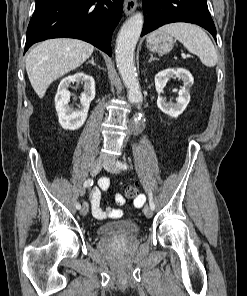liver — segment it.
<instances>
[{
	"label": "liver",
	"mask_w": 247,
	"mask_h": 296,
	"mask_svg": "<svg viewBox=\"0 0 247 296\" xmlns=\"http://www.w3.org/2000/svg\"><path fill=\"white\" fill-rule=\"evenodd\" d=\"M93 51L90 43L70 38L46 40L34 47L26 57V71L39 98L53 81L83 64Z\"/></svg>",
	"instance_id": "1"
}]
</instances>
